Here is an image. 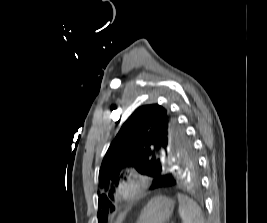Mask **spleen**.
Listing matches in <instances>:
<instances>
[{
    "mask_svg": "<svg viewBox=\"0 0 267 223\" xmlns=\"http://www.w3.org/2000/svg\"><path fill=\"white\" fill-rule=\"evenodd\" d=\"M179 214L183 223H204L200 207L188 196L178 194Z\"/></svg>",
    "mask_w": 267,
    "mask_h": 223,
    "instance_id": "3e777b00",
    "label": "spleen"
}]
</instances>
